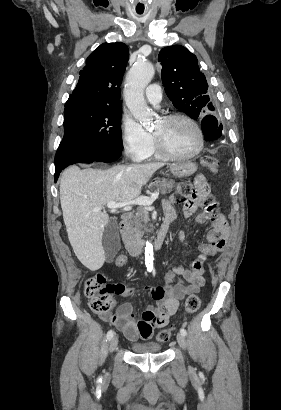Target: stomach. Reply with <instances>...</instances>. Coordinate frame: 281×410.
<instances>
[{
	"label": "stomach",
	"mask_w": 281,
	"mask_h": 410,
	"mask_svg": "<svg viewBox=\"0 0 281 410\" xmlns=\"http://www.w3.org/2000/svg\"><path fill=\"white\" fill-rule=\"evenodd\" d=\"M197 165L191 161L172 164L170 166L171 173L178 178L188 177L195 173Z\"/></svg>",
	"instance_id": "obj_1"
}]
</instances>
